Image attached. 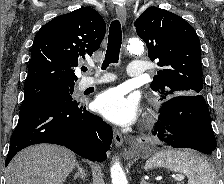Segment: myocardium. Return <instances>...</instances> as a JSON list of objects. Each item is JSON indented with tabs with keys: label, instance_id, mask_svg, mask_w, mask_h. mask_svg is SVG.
<instances>
[{
	"label": "myocardium",
	"instance_id": "myocardium-1",
	"mask_svg": "<svg viewBox=\"0 0 224 184\" xmlns=\"http://www.w3.org/2000/svg\"><path fill=\"white\" fill-rule=\"evenodd\" d=\"M145 126H150L152 123H153V117L152 116H147L146 118H145Z\"/></svg>",
	"mask_w": 224,
	"mask_h": 184
}]
</instances>
